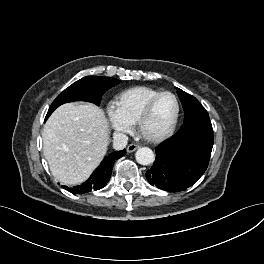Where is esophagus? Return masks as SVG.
<instances>
[{
    "label": "esophagus",
    "mask_w": 264,
    "mask_h": 264,
    "mask_svg": "<svg viewBox=\"0 0 264 264\" xmlns=\"http://www.w3.org/2000/svg\"><path fill=\"white\" fill-rule=\"evenodd\" d=\"M138 148H139V145L132 143V144L128 145L127 152H129V153L134 152Z\"/></svg>",
    "instance_id": "34e87169"
}]
</instances>
